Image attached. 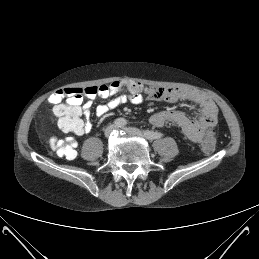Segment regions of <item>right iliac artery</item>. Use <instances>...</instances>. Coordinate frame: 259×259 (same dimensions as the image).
Here are the masks:
<instances>
[{
  "instance_id": "1",
  "label": "right iliac artery",
  "mask_w": 259,
  "mask_h": 259,
  "mask_svg": "<svg viewBox=\"0 0 259 259\" xmlns=\"http://www.w3.org/2000/svg\"><path fill=\"white\" fill-rule=\"evenodd\" d=\"M114 124L117 127H124L127 124V121L124 118H118L114 120Z\"/></svg>"
}]
</instances>
